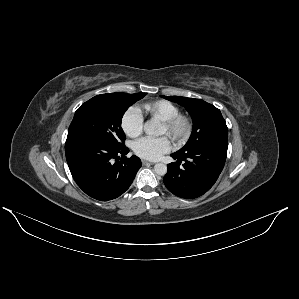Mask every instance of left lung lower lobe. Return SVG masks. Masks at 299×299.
Wrapping results in <instances>:
<instances>
[{"mask_svg": "<svg viewBox=\"0 0 299 299\" xmlns=\"http://www.w3.org/2000/svg\"><path fill=\"white\" fill-rule=\"evenodd\" d=\"M227 148L228 138H218L184 153L171 154L177 162L167 165L168 171L163 178L165 186L181 198L193 199L203 195L219 177L225 164Z\"/></svg>", "mask_w": 299, "mask_h": 299, "instance_id": "obj_1", "label": "left lung lower lobe"}]
</instances>
